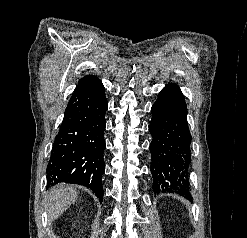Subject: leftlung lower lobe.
Wrapping results in <instances>:
<instances>
[{
  "label": "left lung lower lobe",
  "mask_w": 247,
  "mask_h": 238,
  "mask_svg": "<svg viewBox=\"0 0 247 238\" xmlns=\"http://www.w3.org/2000/svg\"><path fill=\"white\" fill-rule=\"evenodd\" d=\"M149 131L153 190L176 191L189 196L188 170L191 163V135L187 106L176 84L166 85L151 108Z\"/></svg>",
  "instance_id": "0a47b994"
}]
</instances>
